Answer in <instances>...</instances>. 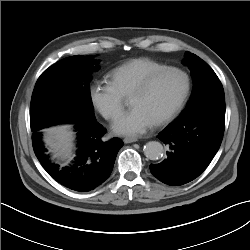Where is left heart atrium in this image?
I'll use <instances>...</instances> for the list:
<instances>
[{
	"instance_id": "left-heart-atrium-1",
	"label": "left heart atrium",
	"mask_w": 250,
	"mask_h": 250,
	"mask_svg": "<svg viewBox=\"0 0 250 250\" xmlns=\"http://www.w3.org/2000/svg\"><path fill=\"white\" fill-rule=\"evenodd\" d=\"M155 125V121L140 107H133L113 125L116 134L138 136Z\"/></svg>"
}]
</instances>
